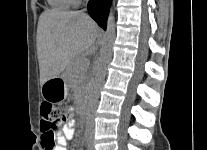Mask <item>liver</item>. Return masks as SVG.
I'll return each mask as SVG.
<instances>
[{
  "mask_svg": "<svg viewBox=\"0 0 207 150\" xmlns=\"http://www.w3.org/2000/svg\"><path fill=\"white\" fill-rule=\"evenodd\" d=\"M98 26L83 12L45 11L37 27L40 84L59 77L98 36Z\"/></svg>",
  "mask_w": 207,
  "mask_h": 150,
  "instance_id": "1",
  "label": "liver"
}]
</instances>
